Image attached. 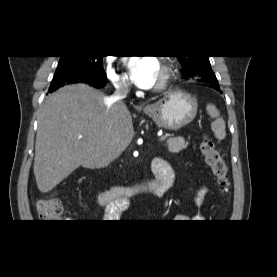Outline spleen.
<instances>
[{"label": "spleen", "mask_w": 277, "mask_h": 277, "mask_svg": "<svg viewBox=\"0 0 277 277\" xmlns=\"http://www.w3.org/2000/svg\"><path fill=\"white\" fill-rule=\"evenodd\" d=\"M206 110L209 116L215 119L211 124V129L213 130L215 137L219 140H223L226 137L224 119L220 117V112L217 110L215 105L207 104Z\"/></svg>", "instance_id": "1"}]
</instances>
